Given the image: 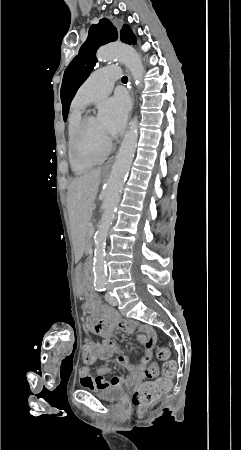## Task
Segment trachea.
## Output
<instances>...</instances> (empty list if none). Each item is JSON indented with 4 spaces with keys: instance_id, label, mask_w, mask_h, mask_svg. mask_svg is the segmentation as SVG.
Returning <instances> with one entry per match:
<instances>
[{
    "instance_id": "3493384b",
    "label": "trachea",
    "mask_w": 241,
    "mask_h": 450,
    "mask_svg": "<svg viewBox=\"0 0 241 450\" xmlns=\"http://www.w3.org/2000/svg\"><path fill=\"white\" fill-rule=\"evenodd\" d=\"M128 78L126 76L122 77V81H127Z\"/></svg>"
}]
</instances>
